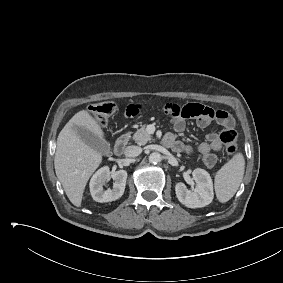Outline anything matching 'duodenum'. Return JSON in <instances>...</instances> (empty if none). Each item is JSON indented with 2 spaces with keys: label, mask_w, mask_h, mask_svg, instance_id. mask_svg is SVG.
Masks as SVG:
<instances>
[{
  "label": "duodenum",
  "mask_w": 283,
  "mask_h": 283,
  "mask_svg": "<svg viewBox=\"0 0 283 283\" xmlns=\"http://www.w3.org/2000/svg\"><path fill=\"white\" fill-rule=\"evenodd\" d=\"M127 143H128V136L126 134H123L121 135L117 141L115 142V145H114V153L117 155V156H120L123 154L126 146H127Z\"/></svg>",
  "instance_id": "1"
}]
</instances>
